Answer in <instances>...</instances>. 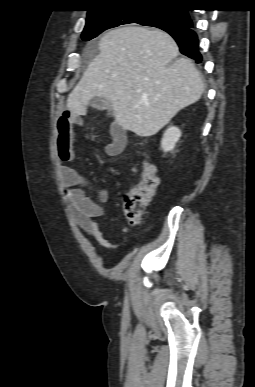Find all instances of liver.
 <instances>
[{"mask_svg":"<svg viewBox=\"0 0 255 387\" xmlns=\"http://www.w3.org/2000/svg\"><path fill=\"white\" fill-rule=\"evenodd\" d=\"M100 53L68 95L67 108L85 115L88 102L101 97L115 122L141 137L158 133L183 108L197 102L204 84L166 32L128 26L106 33Z\"/></svg>","mask_w":255,"mask_h":387,"instance_id":"obj_1","label":"liver"}]
</instances>
